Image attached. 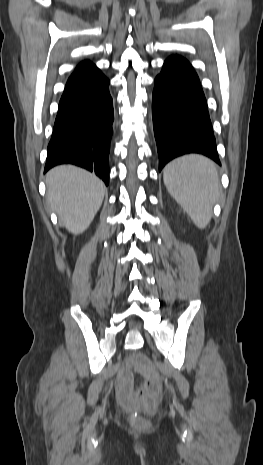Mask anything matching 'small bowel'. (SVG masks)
<instances>
[{
	"instance_id": "1",
	"label": "small bowel",
	"mask_w": 263,
	"mask_h": 465,
	"mask_svg": "<svg viewBox=\"0 0 263 465\" xmlns=\"http://www.w3.org/2000/svg\"><path fill=\"white\" fill-rule=\"evenodd\" d=\"M136 366L135 361H131L128 366L120 371L117 383V394L124 404L134 402L133 396V374L132 368Z\"/></svg>"
}]
</instances>
